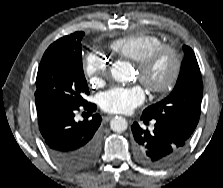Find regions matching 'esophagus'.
<instances>
[{
    "label": "esophagus",
    "instance_id": "34e87169",
    "mask_svg": "<svg viewBox=\"0 0 223 188\" xmlns=\"http://www.w3.org/2000/svg\"><path fill=\"white\" fill-rule=\"evenodd\" d=\"M112 117H113L112 115H108V116L103 117V120L107 122V121H109Z\"/></svg>",
    "mask_w": 223,
    "mask_h": 188
}]
</instances>
